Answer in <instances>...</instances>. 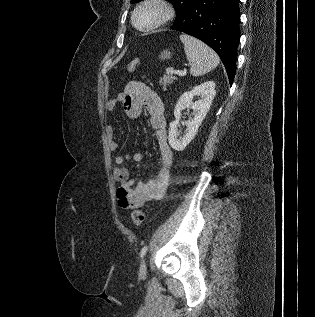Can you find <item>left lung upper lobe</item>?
<instances>
[{
  "instance_id": "5c2ea615",
  "label": "left lung upper lobe",
  "mask_w": 315,
  "mask_h": 317,
  "mask_svg": "<svg viewBox=\"0 0 315 317\" xmlns=\"http://www.w3.org/2000/svg\"><path fill=\"white\" fill-rule=\"evenodd\" d=\"M139 1L141 0H131V3H136ZM167 1L171 2L177 11V17L174 21V22H177L183 17L184 13L186 12V9L194 0H167Z\"/></svg>"
}]
</instances>
